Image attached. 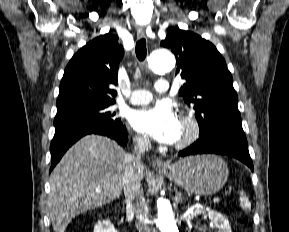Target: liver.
Here are the masks:
<instances>
[{
	"instance_id": "6515ba94",
	"label": "liver",
	"mask_w": 289,
	"mask_h": 232,
	"mask_svg": "<svg viewBox=\"0 0 289 232\" xmlns=\"http://www.w3.org/2000/svg\"><path fill=\"white\" fill-rule=\"evenodd\" d=\"M126 155L114 140L97 134L65 153L50 176L48 211L55 232H64L75 216L120 197ZM143 170H136L140 179Z\"/></svg>"
}]
</instances>
